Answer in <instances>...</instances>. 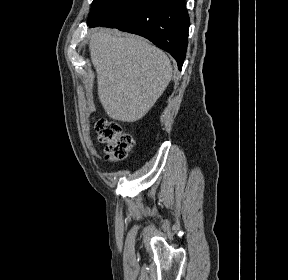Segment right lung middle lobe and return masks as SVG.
Listing matches in <instances>:
<instances>
[{"label":"right lung middle lobe","instance_id":"right-lung-middle-lobe-1","mask_svg":"<svg viewBox=\"0 0 288 280\" xmlns=\"http://www.w3.org/2000/svg\"><path fill=\"white\" fill-rule=\"evenodd\" d=\"M116 1L117 0H94L87 21L92 20L101 10Z\"/></svg>","mask_w":288,"mask_h":280}]
</instances>
